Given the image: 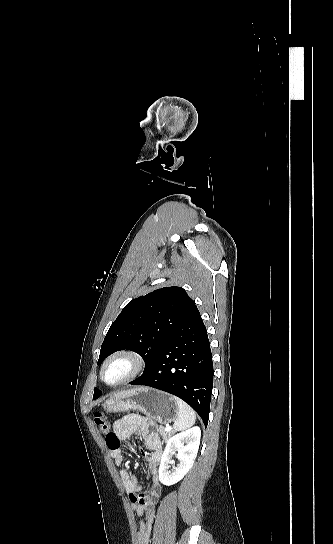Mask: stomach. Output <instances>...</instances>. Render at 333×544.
I'll return each mask as SVG.
<instances>
[{
    "label": "stomach",
    "mask_w": 333,
    "mask_h": 544,
    "mask_svg": "<svg viewBox=\"0 0 333 544\" xmlns=\"http://www.w3.org/2000/svg\"><path fill=\"white\" fill-rule=\"evenodd\" d=\"M104 408L108 412L139 411L160 424L175 420L178 414L172 395L148 387L117 392L104 403Z\"/></svg>",
    "instance_id": "stomach-1"
}]
</instances>
